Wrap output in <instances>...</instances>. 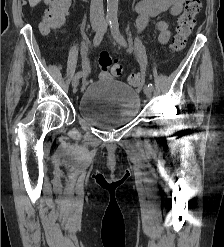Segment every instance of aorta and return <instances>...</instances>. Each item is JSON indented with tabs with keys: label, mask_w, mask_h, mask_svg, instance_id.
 Listing matches in <instances>:
<instances>
[{
	"label": "aorta",
	"mask_w": 224,
	"mask_h": 247,
	"mask_svg": "<svg viewBox=\"0 0 224 247\" xmlns=\"http://www.w3.org/2000/svg\"><path fill=\"white\" fill-rule=\"evenodd\" d=\"M118 0H107V20H117Z\"/></svg>",
	"instance_id": "762f6f07"
}]
</instances>
